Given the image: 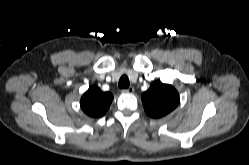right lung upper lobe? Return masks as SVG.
Wrapping results in <instances>:
<instances>
[{
    "label": "right lung upper lobe",
    "mask_w": 249,
    "mask_h": 165,
    "mask_svg": "<svg viewBox=\"0 0 249 165\" xmlns=\"http://www.w3.org/2000/svg\"><path fill=\"white\" fill-rule=\"evenodd\" d=\"M112 100L111 93L102 92L98 87L91 86L81 98V108L91 117H101L107 112Z\"/></svg>",
    "instance_id": "right-lung-upper-lobe-1"
}]
</instances>
